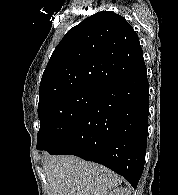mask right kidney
Listing matches in <instances>:
<instances>
[{"label":"right kidney","instance_id":"ca27d5eb","mask_svg":"<svg viewBox=\"0 0 178 195\" xmlns=\"http://www.w3.org/2000/svg\"><path fill=\"white\" fill-rule=\"evenodd\" d=\"M108 195H131V192L127 188L120 187L110 191Z\"/></svg>","mask_w":178,"mask_h":195}]
</instances>
